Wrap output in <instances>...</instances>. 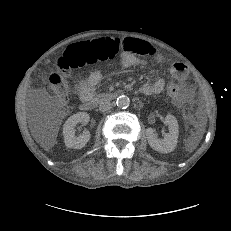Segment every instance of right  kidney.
Instances as JSON below:
<instances>
[{
    "label": "right kidney",
    "mask_w": 231,
    "mask_h": 231,
    "mask_svg": "<svg viewBox=\"0 0 231 231\" xmlns=\"http://www.w3.org/2000/svg\"><path fill=\"white\" fill-rule=\"evenodd\" d=\"M89 115L86 112H79L70 116L63 125L64 143L68 148L82 149L90 140V132L84 130L82 135H75L77 123L86 125L89 122Z\"/></svg>",
    "instance_id": "1"
}]
</instances>
